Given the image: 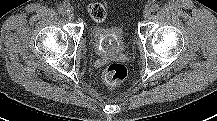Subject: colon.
I'll return each instance as SVG.
<instances>
[{
  "mask_svg": "<svg viewBox=\"0 0 217 121\" xmlns=\"http://www.w3.org/2000/svg\"><path fill=\"white\" fill-rule=\"evenodd\" d=\"M88 13L96 23H102L105 20L106 11L100 3L89 5ZM126 77L127 68L121 63H112L103 72V81L108 86H116L124 81Z\"/></svg>",
  "mask_w": 217,
  "mask_h": 121,
  "instance_id": "5ec220e1",
  "label": "colon"
}]
</instances>
